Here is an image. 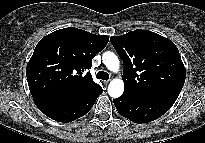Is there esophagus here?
I'll list each match as a JSON object with an SVG mask.
<instances>
[{
  "mask_svg": "<svg viewBox=\"0 0 205 143\" xmlns=\"http://www.w3.org/2000/svg\"><path fill=\"white\" fill-rule=\"evenodd\" d=\"M104 85L107 86L109 84V81H103Z\"/></svg>",
  "mask_w": 205,
  "mask_h": 143,
  "instance_id": "esophagus-1",
  "label": "esophagus"
}]
</instances>
